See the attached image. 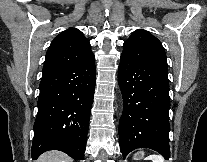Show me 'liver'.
<instances>
[{
	"label": "liver",
	"mask_w": 207,
	"mask_h": 162,
	"mask_svg": "<svg viewBox=\"0 0 207 162\" xmlns=\"http://www.w3.org/2000/svg\"><path fill=\"white\" fill-rule=\"evenodd\" d=\"M36 162H73V160L61 151L52 150L43 153Z\"/></svg>",
	"instance_id": "liver-1"
}]
</instances>
